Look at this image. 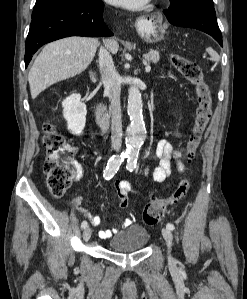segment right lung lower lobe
<instances>
[{
  "instance_id": "obj_1",
  "label": "right lung lower lobe",
  "mask_w": 247,
  "mask_h": 299,
  "mask_svg": "<svg viewBox=\"0 0 247 299\" xmlns=\"http://www.w3.org/2000/svg\"><path fill=\"white\" fill-rule=\"evenodd\" d=\"M101 0H83L55 7L32 19L25 44V66L44 44L68 36H113L103 21Z\"/></svg>"
}]
</instances>
